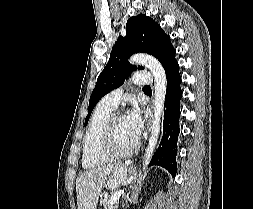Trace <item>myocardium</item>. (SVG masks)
I'll list each match as a JSON object with an SVG mask.
<instances>
[{"mask_svg":"<svg viewBox=\"0 0 253 209\" xmlns=\"http://www.w3.org/2000/svg\"><path fill=\"white\" fill-rule=\"evenodd\" d=\"M122 114L113 113L106 121L99 140V153L108 159H124L133 155L139 148V141L127 151L118 152L113 148V127L116 121L122 118Z\"/></svg>","mask_w":253,"mask_h":209,"instance_id":"1","label":"myocardium"}]
</instances>
